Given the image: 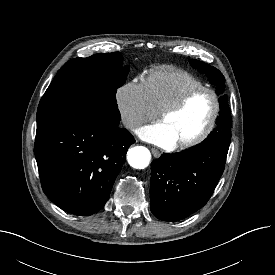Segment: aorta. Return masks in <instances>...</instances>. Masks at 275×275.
<instances>
[{
    "instance_id": "1",
    "label": "aorta",
    "mask_w": 275,
    "mask_h": 275,
    "mask_svg": "<svg viewBox=\"0 0 275 275\" xmlns=\"http://www.w3.org/2000/svg\"><path fill=\"white\" fill-rule=\"evenodd\" d=\"M127 160L131 167L144 169L149 165L151 154L146 147L135 146L128 150Z\"/></svg>"
}]
</instances>
